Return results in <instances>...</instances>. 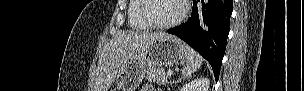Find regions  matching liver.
Here are the masks:
<instances>
[{
  "label": "liver",
  "mask_w": 304,
  "mask_h": 91,
  "mask_svg": "<svg viewBox=\"0 0 304 91\" xmlns=\"http://www.w3.org/2000/svg\"><path fill=\"white\" fill-rule=\"evenodd\" d=\"M164 36L163 32L125 31L117 34L99 58L94 91H108L126 59L141 53L153 40Z\"/></svg>",
  "instance_id": "obj_1"
}]
</instances>
